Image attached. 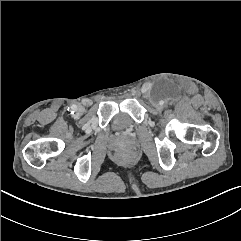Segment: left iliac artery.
<instances>
[{"mask_svg":"<svg viewBox=\"0 0 241 241\" xmlns=\"http://www.w3.org/2000/svg\"><path fill=\"white\" fill-rule=\"evenodd\" d=\"M160 104L163 105V104H164V101H160Z\"/></svg>","mask_w":241,"mask_h":241,"instance_id":"44dca946","label":"left iliac artery"}]
</instances>
